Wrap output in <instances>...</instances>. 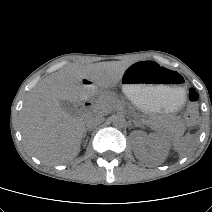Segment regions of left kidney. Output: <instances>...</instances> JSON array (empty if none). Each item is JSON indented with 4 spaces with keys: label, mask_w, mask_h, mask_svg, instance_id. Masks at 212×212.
<instances>
[{
    "label": "left kidney",
    "mask_w": 212,
    "mask_h": 212,
    "mask_svg": "<svg viewBox=\"0 0 212 212\" xmlns=\"http://www.w3.org/2000/svg\"><path fill=\"white\" fill-rule=\"evenodd\" d=\"M134 134L138 137V145L134 150L137 158H152L160 161L166 158L170 149L169 141L166 138L155 133L147 135L142 131L134 132Z\"/></svg>",
    "instance_id": "left-kidney-1"
}]
</instances>
